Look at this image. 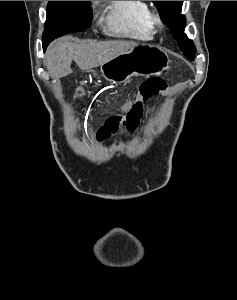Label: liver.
<instances>
[{
  "mask_svg": "<svg viewBox=\"0 0 237 300\" xmlns=\"http://www.w3.org/2000/svg\"><path fill=\"white\" fill-rule=\"evenodd\" d=\"M72 37H62L51 43L46 53V65L51 77H66L72 73L71 63L75 61L83 73L99 67L113 57L137 47L132 41H81L73 43Z\"/></svg>",
  "mask_w": 237,
  "mask_h": 300,
  "instance_id": "obj_1",
  "label": "liver"
}]
</instances>
